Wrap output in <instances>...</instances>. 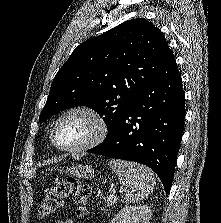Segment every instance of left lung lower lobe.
Listing matches in <instances>:
<instances>
[{"label":"left lung lower lobe","instance_id":"0a47b994","mask_svg":"<svg viewBox=\"0 0 221 223\" xmlns=\"http://www.w3.org/2000/svg\"><path fill=\"white\" fill-rule=\"evenodd\" d=\"M185 95L172 51L138 93L116 130L87 152L150 167L169 194L184 129Z\"/></svg>","mask_w":221,"mask_h":223}]
</instances>
